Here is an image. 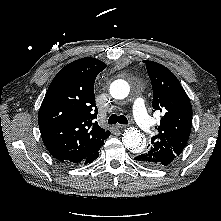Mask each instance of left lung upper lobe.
I'll return each instance as SVG.
<instances>
[{
  "instance_id": "5c2ea615",
  "label": "left lung upper lobe",
  "mask_w": 221,
  "mask_h": 221,
  "mask_svg": "<svg viewBox=\"0 0 221 221\" xmlns=\"http://www.w3.org/2000/svg\"><path fill=\"white\" fill-rule=\"evenodd\" d=\"M153 88L152 107L163 113L158 133L141 154L156 167L167 166L178 157L188 141L192 125L190 100L176 76L165 66L145 60Z\"/></svg>"
}]
</instances>
